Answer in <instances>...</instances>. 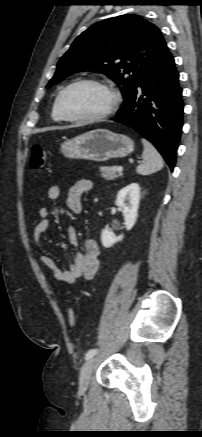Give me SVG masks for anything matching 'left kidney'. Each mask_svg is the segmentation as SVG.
Returning a JSON list of instances; mask_svg holds the SVG:
<instances>
[{
  "instance_id": "left-kidney-1",
  "label": "left kidney",
  "mask_w": 202,
  "mask_h": 437,
  "mask_svg": "<svg viewBox=\"0 0 202 437\" xmlns=\"http://www.w3.org/2000/svg\"><path fill=\"white\" fill-rule=\"evenodd\" d=\"M125 201L128 203L125 204ZM139 201L140 187L138 183L129 184L128 186L122 188L117 194L115 205L123 210L126 230H131L136 223ZM122 238L123 235L116 236L109 229H103L101 233V242L105 248L113 246L115 243L121 241Z\"/></svg>"
}]
</instances>
